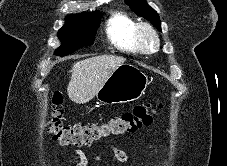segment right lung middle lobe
<instances>
[{"label": "right lung middle lobe", "instance_id": "1", "mask_svg": "<svg viewBox=\"0 0 227 166\" xmlns=\"http://www.w3.org/2000/svg\"><path fill=\"white\" fill-rule=\"evenodd\" d=\"M102 15L98 12L69 16L66 24L59 30L62 46L56 55H68L82 46L92 45Z\"/></svg>", "mask_w": 227, "mask_h": 166}]
</instances>
